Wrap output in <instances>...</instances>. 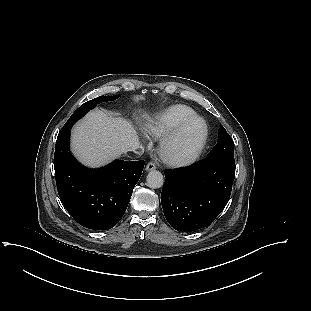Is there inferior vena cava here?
Returning a JSON list of instances; mask_svg holds the SVG:
<instances>
[{
    "label": "inferior vena cava",
    "instance_id": "obj_1",
    "mask_svg": "<svg viewBox=\"0 0 311 311\" xmlns=\"http://www.w3.org/2000/svg\"><path fill=\"white\" fill-rule=\"evenodd\" d=\"M142 147L138 143H128L126 145V151L125 152H135L139 155L142 154V150L139 151Z\"/></svg>",
    "mask_w": 311,
    "mask_h": 311
}]
</instances>
